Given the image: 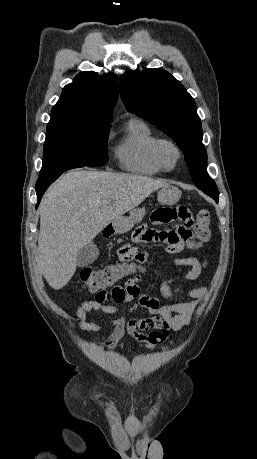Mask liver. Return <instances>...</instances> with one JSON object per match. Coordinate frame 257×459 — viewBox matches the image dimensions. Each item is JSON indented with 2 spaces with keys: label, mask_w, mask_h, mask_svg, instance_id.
<instances>
[{
  "label": "liver",
  "mask_w": 257,
  "mask_h": 459,
  "mask_svg": "<svg viewBox=\"0 0 257 459\" xmlns=\"http://www.w3.org/2000/svg\"><path fill=\"white\" fill-rule=\"evenodd\" d=\"M165 180L105 171H72L45 193L39 208L37 264L48 284L63 288L77 253L115 219L137 207Z\"/></svg>",
  "instance_id": "obj_1"
}]
</instances>
